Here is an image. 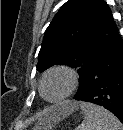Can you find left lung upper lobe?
Here are the masks:
<instances>
[{"mask_svg": "<svg viewBox=\"0 0 123 130\" xmlns=\"http://www.w3.org/2000/svg\"><path fill=\"white\" fill-rule=\"evenodd\" d=\"M112 12L104 0H68L46 29L37 70L55 65L78 68L81 92L97 57L118 37Z\"/></svg>", "mask_w": 123, "mask_h": 130, "instance_id": "obj_1", "label": "left lung upper lobe"}]
</instances>
